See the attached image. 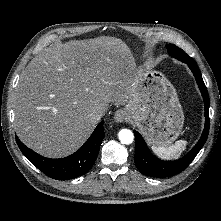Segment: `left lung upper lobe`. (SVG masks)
Returning a JSON list of instances; mask_svg holds the SVG:
<instances>
[{
	"instance_id": "left-lung-upper-lobe-1",
	"label": "left lung upper lobe",
	"mask_w": 221,
	"mask_h": 221,
	"mask_svg": "<svg viewBox=\"0 0 221 221\" xmlns=\"http://www.w3.org/2000/svg\"><path fill=\"white\" fill-rule=\"evenodd\" d=\"M166 48L168 49V52L172 57H174L182 62L193 60L182 49L178 48L177 46H175L173 44H167Z\"/></svg>"
}]
</instances>
